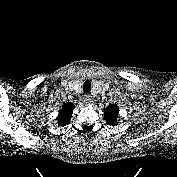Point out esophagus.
Segmentation results:
<instances>
[{"instance_id": "1", "label": "esophagus", "mask_w": 177, "mask_h": 177, "mask_svg": "<svg viewBox=\"0 0 177 177\" xmlns=\"http://www.w3.org/2000/svg\"><path fill=\"white\" fill-rule=\"evenodd\" d=\"M84 102L89 103V104L92 103L93 102L92 96L90 94H85L84 95Z\"/></svg>"}]
</instances>
